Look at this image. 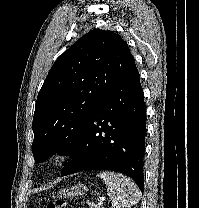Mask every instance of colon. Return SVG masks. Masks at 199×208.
Segmentation results:
<instances>
[{
	"label": "colon",
	"mask_w": 199,
	"mask_h": 208,
	"mask_svg": "<svg viewBox=\"0 0 199 208\" xmlns=\"http://www.w3.org/2000/svg\"><path fill=\"white\" fill-rule=\"evenodd\" d=\"M46 208H68L67 203L64 200H57L55 202L49 203Z\"/></svg>",
	"instance_id": "5ec220e1"
}]
</instances>
